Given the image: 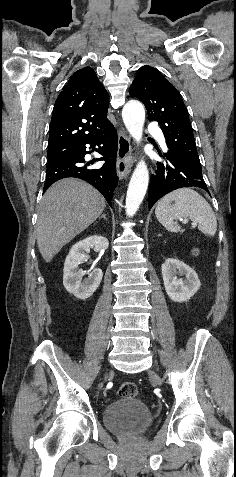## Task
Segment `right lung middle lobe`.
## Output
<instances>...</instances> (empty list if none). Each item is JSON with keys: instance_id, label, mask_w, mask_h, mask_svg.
<instances>
[{"instance_id": "obj_1", "label": "right lung middle lobe", "mask_w": 236, "mask_h": 477, "mask_svg": "<svg viewBox=\"0 0 236 477\" xmlns=\"http://www.w3.org/2000/svg\"><path fill=\"white\" fill-rule=\"evenodd\" d=\"M49 161L57 163V162L62 161V158L61 157H52V158H48V162Z\"/></svg>"}]
</instances>
